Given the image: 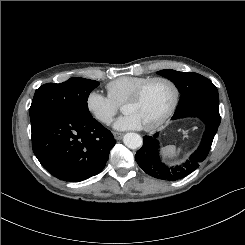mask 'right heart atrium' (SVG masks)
Returning a JSON list of instances; mask_svg holds the SVG:
<instances>
[{"instance_id": "right-heart-atrium-1", "label": "right heart atrium", "mask_w": 245, "mask_h": 245, "mask_svg": "<svg viewBox=\"0 0 245 245\" xmlns=\"http://www.w3.org/2000/svg\"><path fill=\"white\" fill-rule=\"evenodd\" d=\"M85 105L90 115L103 125H109L118 111V105L98 90L87 94Z\"/></svg>"}]
</instances>
